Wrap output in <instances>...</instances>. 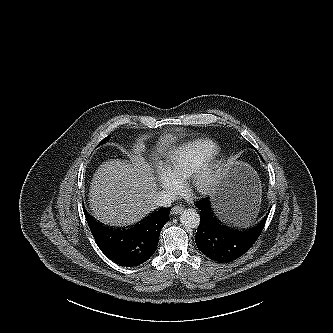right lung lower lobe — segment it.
<instances>
[{"label":"right lung lower lobe","mask_w":333,"mask_h":333,"mask_svg":"<svg viewBox=\"0 0 333 333\" xmlns=\"http://www.w3.org/2000/svg\"><path fill=\"white\" fill-rule=\"evenodd\" d=\"M92 235L101 251L115 263L134 267L154 254L170 208H161L127 229L103 226L83 208Z\"/></svg>","instance_id":"right-lung-lower-lobe-1"}]
</instances>
